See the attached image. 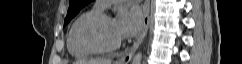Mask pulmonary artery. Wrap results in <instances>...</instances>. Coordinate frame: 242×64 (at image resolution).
Instances as JSON below:
<instances>
[{
    "label": "pulmonary artery",
    "instance_id": "e3ab8cb5",
    "mask_svg": "<svg viewBox=\"0 0 242 64\" xmlns=\"http://www.w3.org/2000/svg\"><path fill=\"white\" fill-rule=\"evenodd\" d=\"M119 2H123V0H97L96 6L101 9H105V8L109 7L111 4L119 3Z\"/></svg>",
    "mask_w": 242,
    "mask_h": 64
}]
</instances>
